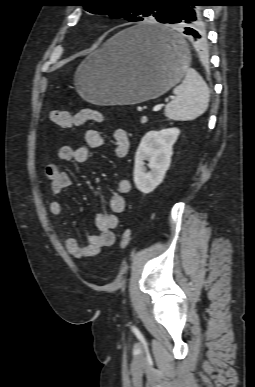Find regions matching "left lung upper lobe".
Returning a JSON list of instances; mask_svg holds the SVG:
<instances>
[{"label":"left lung upper lobe","instance_id":"obj_1","mask_svg":"<svg viewBox=\"0 0 255 387\" xmlns=\"http://www.w3.org/2000/svg\"><path fill=\"white\" fill-rule=\"evenodd\" d=\"M182 0H79V5L93 14L124 18L130 22L142 21L153 16L164 23L170 6Z\"/></svg>","mask_w":255,"mask_h":387}]
</instances>
